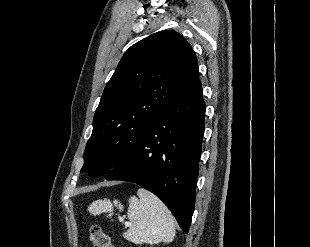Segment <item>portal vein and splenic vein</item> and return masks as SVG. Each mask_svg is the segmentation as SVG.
<instances>
[{"label": "portal vein and splenic vein", "mask_w": 310, "mask_h": 247, "mask_svg": "<svg viewBox=\"0 0 310 247\" xmlns=\"http://www.w3.org/2000/svg\"><path fill=\"white\" fill-rule=\"evenodd\" d=\"M129 225V223H126V226H128Z\"/></svg>", "instance_id": "obj_1"}]
</instances>
